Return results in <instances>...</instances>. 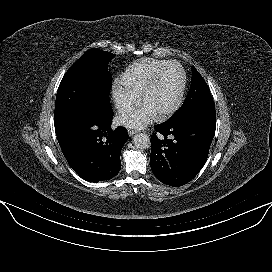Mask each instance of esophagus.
Instances as JSON below:
<instances>
[{"instance_id":"esophagus-1","label":"esophagus","mask_w":272,"mask_h":272,"mask_svg":"<svg viewBox=\"0 0 272 272\" xmlns=\"http://www.w3.org/2000/svg\"><path fill=\"white\" fill-rule=\"evenodd\" d=\"M137 132H138V130H134V129H129V130H128L129 136H133V135L136 134Z\"/></svg>"}]
</instances>
